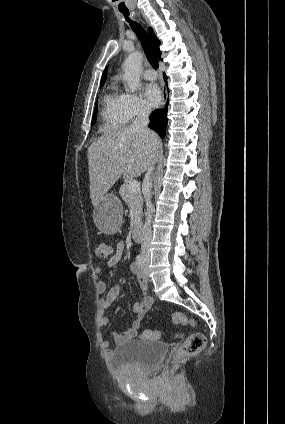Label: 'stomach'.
Returning a JSON list of instances; mask_svg holds the SVG:
<instances>
[{"label": "stomach", "mask_w": 285, "mask_h": 424, "mask_svg": "<svg viewBox=\"0 0 285 424\" xmlns=\"http://www.w3.org/2000/svg\"><path fill=\"white\" fill-rule=\"evenodd\" d=\"M123 205L120 199L106 194L94 207L93 220L97 228L106 234L116 233L122 224Z\"/></svg>", "instance_id": "0dacf381"}]
</instances>
